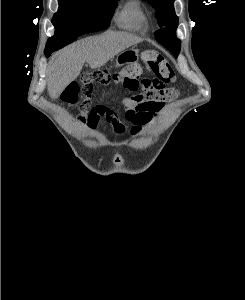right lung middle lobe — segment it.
I'll list each match as a JSON object with an SVG mask.
<instances>
[{
	"label": "right lung middle lobe",
	"mask_w": 245,
	"mask_h": 300,
	"mask_svg": "<svg viewBox=\"0 0 245 300\" xmlns=\"http://www.w3.org/2000/svg\"><path fill=\"white\" fill-rule=\"evenodd\" d=\"M117 0H59V9L52 19L55 35L48 39L45 49L58 50L82 35L81 25L98 20L108 26Z\"/></svg>",
	"instance_id": "dd1d6c3e"
}]
</instances>
